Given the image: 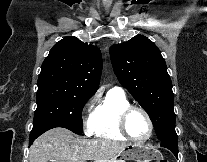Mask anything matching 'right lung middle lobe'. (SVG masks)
<instances>
[{
  "mask_svg": "<svg viewBox=\"0 0 207 162\" xmlns=\"http://www.w3.org/2000/svg\"><path fill=\"white\" fill-rule=\"evenodd\" d=\"M90 97L56 88L38 89L33 129L41 126L64 127L81 134L82 109Z\"/></svg>",
  "mask_w": 207,
  "mask_h": 162,
  "instance_id": "right-lung-middle-lobe-1",
  "label": "right lung middle lobe"
}]
</instances>
